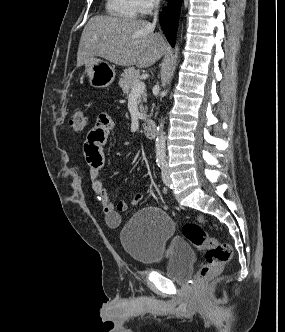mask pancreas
<instances>
[{"instance_id":"pancreas-1","label":"pancreas","mask_w":285,"mask_h":332,"mask_svg":"<svg viewBox=\"0 0 285 332\" xmlns=\"http://www.w3.org/2000/svg\"><path fill=\"white\" fill-rule=\"evenodd\" d=\"M140 82V72L134 67L124 70L119 80V87L122 89L124 95H128L133 86ZM146 100V94L142 93L139 96L140 110L142 111V119L147 117V109L143 107L142 102Z\"/></svg>"}]
</instances>
